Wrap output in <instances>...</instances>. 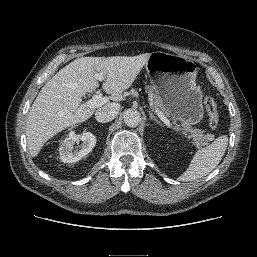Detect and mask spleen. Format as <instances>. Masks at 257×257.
<instances>
[{"label": "spleen", "mask_w": 257, "mask_h": 257, "mask_svg": "<svg viewBox=\"0 0 257 257\" xmlns=\"http://www.w3.org/2000/svg\"><path fill=\"white\" fill-rule=\"evenodd\" d=\"M228 145L226 135L219 136L210 145L198 150L179 181H194L210 173L222 160Z\"/></svg>", "instance_id": "1"}]
</instances>
